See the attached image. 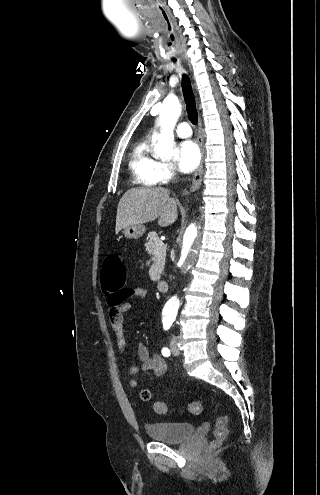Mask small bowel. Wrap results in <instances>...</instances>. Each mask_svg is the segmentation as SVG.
<instances>
[{
	"mask_svg": "<svg viewBox=\"0 0 320 495\" xmlns=\"http://www.w3.org/2000/svg\"><path fill=\"white\" fill-rule=\"evenodd\" d=\"M120 293L126 295L125 300L118 302L117 298ZM147 296L146 288L140 286H124L121 291L110 292L106 294V301L109 308V319L117 337V347L121 355L124 354L126 348V339L124 335L123 322L124 314L132 309L131 298L144 299ZM137 358L139 366L133 365L128 368V374L136 375L140 370L150 371L155 376L159 377L165 374L167 370L166 360L160 355H150L147 345L143 342L137 344ZM131 388L138 387V381L131 379L129 381Z\"/></svg>",
	"mask_w": 320,
	"mask_h": 495,
	"instance_id": "c3829d8e",
	"label": "small bowel"
}]
</instances>
